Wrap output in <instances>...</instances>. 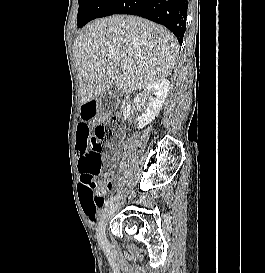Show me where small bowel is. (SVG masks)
I'll list each match as a JSON object with an SVG mask.
<instances>
[{
  "label": "small bowel",
  "mask_w": 265,
  "mask_h": 273,
  "mask_svg": "<svg viewBox=\"0 0 265 273\" xmlns=\"http://www.w3.org/2000/svg\"><path fill=\"white\" fill-rule=\"evenodd\" d=\"M82 108H93V103H82ZM95 109H82L81 119H94ZM78 129H95V124H78ZM120 153L115 151L113 153L114 159H119ZM78 168L81 157L77 153ZM80 170V169H79ZM110 180L101 181L98 183V191L96 193H81V206L85 216L94 222L97 219L98 211L102 208L106 200V192L111 187Z\"/></svg>",
  "instance_id": "small-bowel-1"
}]
</instances>
